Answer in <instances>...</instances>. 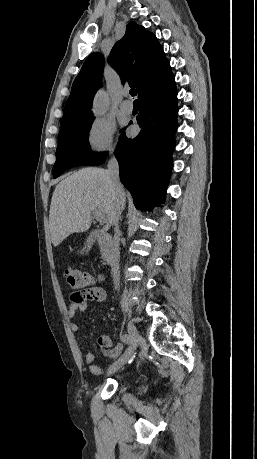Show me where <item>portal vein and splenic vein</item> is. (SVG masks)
Masks as SVG:
<instances>
[{"instance_id": "portal-vein-and-splenic-vein-1", "label": "portal vein and splenic vein", "mask_w": 257, "mask_h": 459, "mask_svg": "<svg viewBox=\"0 0 257 459\" xmlns=\"http://www.w3.org/2000/svg\"><path fill=\"white\" fill-rule=\"evenodd\" d=\"M93 213H94V217L96 218L97 221L104 222V217L102 216L101 213H99L96 210H94Z\"/></svg>"}]
</instances>
